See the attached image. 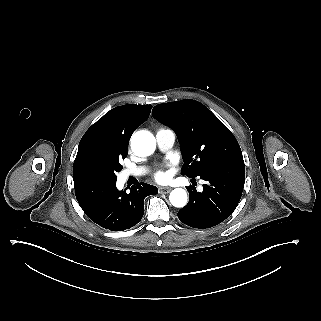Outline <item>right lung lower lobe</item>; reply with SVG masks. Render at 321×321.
<instances>
[{"label":"right lung lower lobe","instance_id":"98d812e1","mask_svg":"<svg viewBox=\"0 0 321 321\" xmlns=\"http://www.w3.org/2000/svg\"><path fill=\"white\" fill-rule=\"evenodd\" d=\"M78 203L96 224L112 231L129 229L144 214V198L157 194L155 186L140 183L130 192L118 191L116 180L82 175L73 178Z\"/></svg>","mask_w":321,"mask_h":321}]
</instances>
